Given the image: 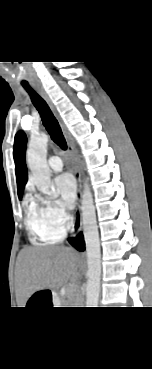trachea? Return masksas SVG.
Returning a JSON list of instances; mask_svg holds the SVG:
<instances>
[{"label": "trachea", "instance_id": "1", "mask_svg": "<svg viewBox=\"0 0 152 369\" xmlns=\"http://www.w3.org/2000/svg\"><path fill=\"white\" fill-rule=\"evenodd\" d=\"M23 87L27 90V92L31 96V100L38 110L43 125L45 126L46 130L50 134L52 140L63 150L67 149V143L61 131L60 125L57 119L54 117L52 111L50 110L49 106L45 102L43 98H41L35 91L31 89V87L27 83L22 84Z\"/></svg>", "mask_w": 152, "mask_h": 369}]
</instances>
